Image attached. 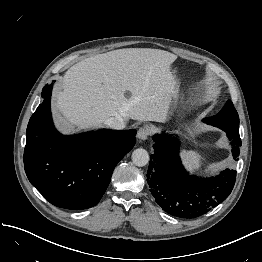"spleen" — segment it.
<instances>
[{"mask_svg":"<svg viewBox=\"0 0 262 262\" xmlns=\"http://www.w3.org/2000/svg\"><path fill=\"white\" fill-rule=\"evenodd\" d=\"M180 155L183 159V164L191 172L199 171L204 163L203 155L199 151L184 149L181 150Z\"/></svg>","mask_w":262,"mask_h":262,"instance_id":"spleen-1","label":"spleen"}]
</instances>
